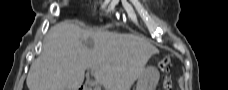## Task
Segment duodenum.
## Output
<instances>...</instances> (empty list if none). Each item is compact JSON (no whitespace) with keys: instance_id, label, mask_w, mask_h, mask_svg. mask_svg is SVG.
I'll return each mask as SVG.
<instances>
[{"instance_id":"duodenum-1","label":"duodenum","mask_w":228,"mask_h":90,"mask_svg":"<svg viewBox=\"0 0 228 90\" xmlns=\"http://www.w3.org/2000/svg\"><path fill=\"white\" fill-rule=\"evenodd\" d=\"M80 90H87L86 88H85V86L83 87V88H81Z\"/></svg>"}]
</instances>
